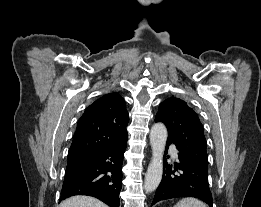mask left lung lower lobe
<instances>
[{
  "label": "left lung lower lobe",
  "instance_id": "0a47b994",
  "mask_svg": "<svg viewBox=\"0 0 261 207\" xmlns=\"http://www.w3.org/2000/svg\"><path fill=\"white\" fill-rule=\"evenodd\" d=\"M169 144L167 142V148ZM164 168L162 181L156 190L152 205L171 198L195 197L208 204L209 207H213L207 168L197 164L180 152L178 153V160L173 166L168 165L166 159H164Z\"/></svg>",
  "mask_w": 261,
  "mask_h": 207
}]
</instances>
